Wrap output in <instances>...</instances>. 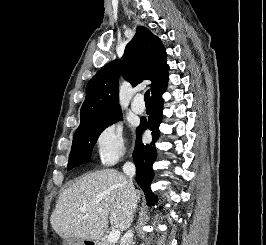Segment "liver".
<instances>
[{"instance_id":"obj_1","label":"liver","mask_w":266,"mask_h":245,"mask_svg":"<svg viewBox=\"0 0 266 245\" xmlns=\"http://www.w3.org/2000/svg\"><path fill=\"white\" fill-rule=\"evenodd\" d=\"M136 193V201H140L139 191ZM132 203L125 175L116 169L87 173L61 191L51 215V227L61 239L99 241L109 221L112 229H129L135 213Z\"/></svg>"}]
</instances>
